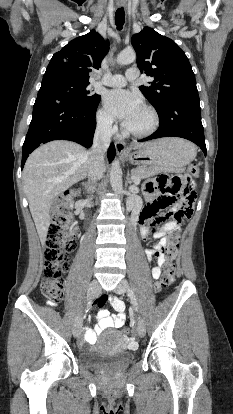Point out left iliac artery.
Instances as JSON below:
<instances>
[{
	"label": "left iliac artery",
	"mask_w": 233,
	"mask_h": 414,
	"mask_svg": "<svg viewBox=\"0 0 233 414\" xmlns=\"http://www.w3.org/2000/svg\"><path fill=\"white\" fill-rule=\"evenodd\" d=\"M128 296L130 297L131 302H132L135 310L138 311V305H137V301H136L135 295H134L132 289H130V288H128Z\"/></svg>",
	"instance_id": "44dca946"
}]
</instances>
